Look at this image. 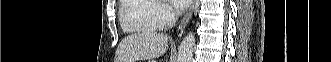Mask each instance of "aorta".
<instances>
[{
  "mask_svg": "<svg viewBox=\"0 0 331 62\" xmlns=\"http://www.w3.org/2000/svg\"><path fill=\"white\" fill-rule=\"evenodd\" d=\"M194 46L195 35L193 33H189L183 38L178 48L177 62H191Z\"/></svg>",
  "mask_w": 331,
  "mask_h": 62,
  "instance_id": "1",
  "label": "aorta"
}]
</instances>
